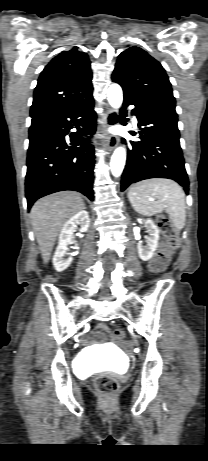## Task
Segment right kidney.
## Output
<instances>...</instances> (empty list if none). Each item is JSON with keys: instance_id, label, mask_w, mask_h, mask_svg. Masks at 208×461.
Listing matches in <instances>:
<instances>
[{"instance_id": "ca27d5eb", "label": "right kidney", "mask_w": 208, "mask_h": 461, "mask_svg": "<svg viewBox=\"0 0 208 461\" xmlns=\"http://www.w3.org/2000/svg\"><path fill=\"white\" fill-rule=\"evenodd\" d=\"M90 218L88 212L82 210L72 216L62 227L59 235V242L53 256V265L58 272L65 270L72 262L73 258L70 256L66 258L68 246L76 244L74 240V232L77 225H80V232H86L89 228ZM76 249H78L76 245Z\"/></svg>"}]
</instances>
